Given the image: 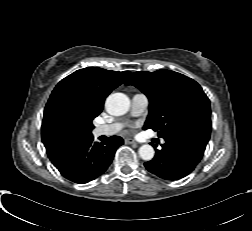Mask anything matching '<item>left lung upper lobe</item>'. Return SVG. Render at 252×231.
I'll return each mask as SVG.
<instances>
[{
    "instance_id": "left-lung-upper-lobe-1",
    "label": "left lung upper lobe",
    "mask_w": 252,
    "mask_h": 231,
    "mask_svg": "<svg viewBox=\"0 0 252 231\" xmlns=\"http://www.w3.org/2000/svg\"><path fill=\"white\" fill-rule=\"evenodd\" d=\"M125 84L137 87L149 99L145 130L158 131L162 138L189 129L211 132L209 99L193 79L161 69L132 73Z\"/></svg>"
}]
</instances>
